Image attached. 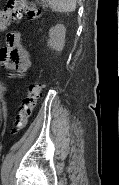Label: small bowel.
Masks as SVG:
<instances>
[{
    "label": "small bowel",
    "mask_w": 119,
    "mask_h": 185,
    "mask_svg": "<svg viewBox=\"0 0 119 185\" xmlns=\"http://www.w3.org/2000/svg\"><path fill=\"white\" fill-rule=\"evenodd\" d=\"M0 64L14 75H22L31 67L29 53L21 43L19 32L6 34V45L0 49Z\"/></svg>",
    "instance_id": "c3829d8e"
}]
</instances>
